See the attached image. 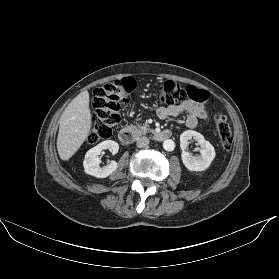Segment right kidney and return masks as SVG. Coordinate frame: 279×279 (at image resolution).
Segmentation results:
<instances>
[{
	"instance_id": "ca27d5eb",
	"label": "right kidney",
	"mask_w": 279,
	"mask_h": 279,
	"mask_svg": "<svg viewBox=\"0 0 279 279\" xmlns=\"http://www.w3.org/2000/svg\"><path fill=\"white\" fill-rule=\"evenodd\" d=\"M106 149L116 154L119 150V145L113 140H106L91 148L86 153L83 161L85 173L97 178H106L117 169L118 164L116 161H111L103 167L99 166L101 161L98 156Z\"/></svg>"
}]
</instances>
